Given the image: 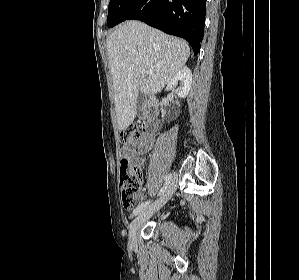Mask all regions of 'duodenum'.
Wrapping results in <instances>:
<instances>
[{"label": "duodenum", "mask_w": 299, "mask_h": 280, "mask_svg": "<svg viewBox=\"0 0 299 280\" xmlns=\"http://www.w3.org/2000/svg\"><path fill=\"white\" fill-rule=\"evenodd\" d=\"M158 102L156 98L150 97L144 106V115H145V129L148 132H152L156 128V115H157Z\"/></svg>", "instance_id": "duodenum-1"}]
</instances>
